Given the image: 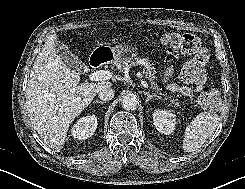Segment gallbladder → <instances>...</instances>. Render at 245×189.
Here are the masks:
<instances>
[{
  "label": "gallbladder",
  "mask_w": 245,
  "mask_h": 189,
  "mask_svg": "<svg viewBox=\"0 0 245 189\" xmlns=\"http://www.w3.org/2000/svg\"><path fill=\"white\" fill-rule=\"evenodd\" d=\"M55 49L61 60L70 69L81 73L86 69L85 63L82 62L77 56L72 54L70 49L65 44L56 42Z\"/></svg>",
  "instance_id": "gallbladder-1"
}]
</instances>
